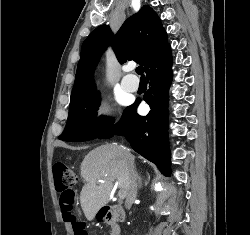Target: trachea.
<instances>
[{
    "instance_id": "trachea-1",
    "label": "trachea",
    "mask_w": 250,
    "mask_h": 235,
    "mask_svg": "<svg viewBox=\"0 0 250 235\" xmlns=\"http://www.w3.org/2000/svg\"><path fill=\"white\" fill-rule=\"evenodd\" d=\"M136 73H137L138 75H141V77L143 78V77H144V74H143V67H142V66H138V67L136 68Z\"/></svg>"
}]
</instances>
